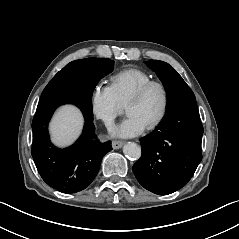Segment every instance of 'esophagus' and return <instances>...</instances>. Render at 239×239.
Here are the masks:
<instances>
[{"mask_svg":"<svg viewBox=\"0 0 239 239\" xmlns=\"http://www.w3.org/2000/svg\"><path fill=\"white\" fill-rule=\"evenodd\" d=\"M123 145H124V142H123V141H117V140L112 141V147H113L114 149H119V148H121Z\"/></svg>","mask_w":239,"mask_h":239,"instance_id":"1","label":"esophagus"}]
</instances>
